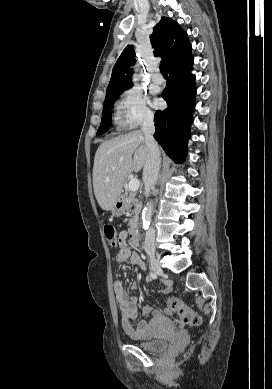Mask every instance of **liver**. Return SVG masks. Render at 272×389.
<instances>
[{
  "label": "liver",
  "mask_w": 272,
  "mask_h": 389,
  "mask_svg": "<svg viewBox=\"0 0 272 389\" xmlns=\"http://www.w3.org/2000/svg\"><path fill=\"white\" fill-rule=\"evenodd\" d=\"M148 149L142 131L136 130L103 142L93 167V189L99 206L111 210L120 197L125 179L145 165Z\"/></svg>",
  "instance_id": "liver-1"
}]
</instances>
